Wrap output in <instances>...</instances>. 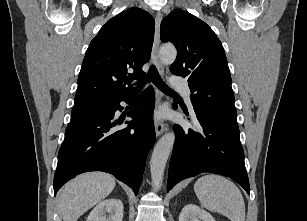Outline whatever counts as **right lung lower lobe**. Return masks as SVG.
Listing matches in <instances>:
<instances>
[{
    "mask_svg": "<svg viewBox=\"0 0 307 221\" xmlns=\"http://www.w3.org/2000/svg\"><path fill=\"white\" fill-rule=\"evenodd\" d=\"M111 102L108 110L82 123L68 126L58 153L54 193L76 175L104 171L130 186L137 194L142 182L147 154L155 142L153 126L154 91L150 86L133 102L127 127L114 120L121 101Z\"/></svg>",
    "mask_w": 307,
    "mask_h": 221,
    "instance_id": "obj_1",
    "label": "right lung lower lobe"
}]
</instances>
